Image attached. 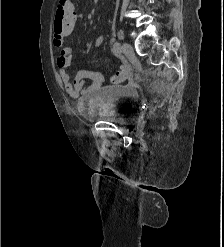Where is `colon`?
I'll use <instances>...</instances> for the list:
<instances>
[{"mask_svg":"<svg viewBox=\"0 0 224 247\" xmlns=\"http://www.w3.org/2000/svg\"><path fill=\"white\" fill-rule=\"evenodd\" d=\"M75 6L70 0H60L55 14L54 30L58 34L70 35L75 24ZM128 73L125 70H119L113 76L112 80L116 83L126 81Z\"/></svg>","mask_w":224,"mask_h":247,"instance_id":"1","label":"colon"}]
</instances>
